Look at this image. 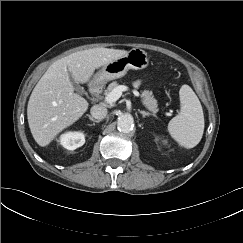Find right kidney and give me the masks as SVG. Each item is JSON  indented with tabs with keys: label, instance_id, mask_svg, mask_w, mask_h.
Returning <instances> with one entry per match:
<instances>
[{
	"label": "right kidney",
	"instance_id": "ca27d5eb",
	"mask_svg": "<svg viewBox=\"0 0 243 243\" xmlns=\"http://www.w3.org/2000/svg\"><path fill=\"white\" fill-rule=\"evenodd\" d=\"M60 144L67 150H75L85 143V135L82 132H66L60 136Z\"/></svg>",
	"mask_w": 243,
	"mask_h": 243
}]
</instances>
